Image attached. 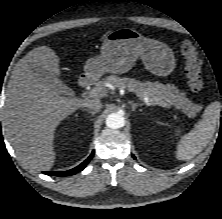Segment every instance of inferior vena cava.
Here are the masks:
<instances>
[{"label": "inferior vena cava", "mask_w": 222, "mask_h": 219, "mask_svg": "<svg viewBox=\"0 0 222 219\" xmlns=\"http://www.w3.org/2000/svg\"><path fill=\"white\" fill-rule=\"evenodd\" d=\"M83 107L91 108L96 111H99L102 108V103L98 99L88 100L82 105Z\"/></svg>", "instance_id": "602c4592"}]
</instances>
